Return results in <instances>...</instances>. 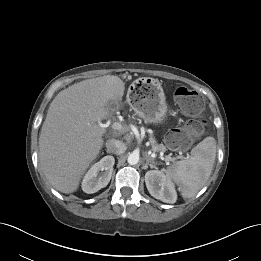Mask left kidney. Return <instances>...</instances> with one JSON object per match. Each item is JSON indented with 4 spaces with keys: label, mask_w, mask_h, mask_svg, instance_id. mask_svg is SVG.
Returning <instances> with one entry per match:
<instances>
[{
    "label": "left kidney",
    "mask_w": 261,
    "mask_h": 261,
    "mask_svg": "<svg viewBox=\"0 0 261 261\" xmlns=\"http://www.w3.org/2000/svg\"><path fill=\"white\" fill-rule=\"evenodd\" d=\"M146 187L154 198L165 203L173 204L177 193L171 180L159 170H150L145 174Z\"/></svg>",
    "instance_id": "1"
}]
</instances>
